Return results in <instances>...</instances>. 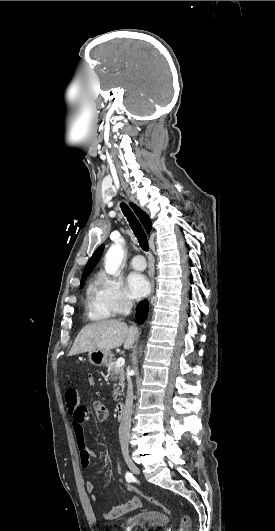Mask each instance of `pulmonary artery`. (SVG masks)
Returning <instances> with one entry per match:
<instances>
[{"mask_svg": "<svg viewBox=\"0 0 275 531\" xmlns=\"http://www.w3.org/2000/svg\"><path fill=\"white\" fill-rule=\"evenodd\" d=\"M130 264L135 270H143L146 268V262L142 255H135L131 258Z\"/></svg>", "mask_w": 275, "mask_h": 531, "instance_id": "pulmonary-artery-1", "label": "pulmonary artery"}]
</instances>
